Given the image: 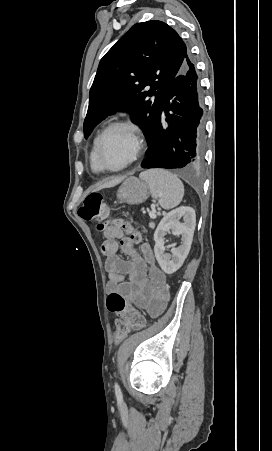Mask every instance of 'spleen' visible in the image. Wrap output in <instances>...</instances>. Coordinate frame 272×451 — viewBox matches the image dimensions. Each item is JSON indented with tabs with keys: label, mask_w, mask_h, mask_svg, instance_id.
<instances>
[{
	"label": "spleen",
	"mask_w": 272,
	"mask_h": 451,
	"mask_svg": "<svg viewBox=\"0 0 272 451\" xmlns=\"http://www.w3.org/2000/svg\"><path fill=\"white\" fill-rule=\"evenodd\" d=\"M139 178L147 182L152 198H158V204L164 210H171L180 204L184 196V186L175 174L155 168L141 172Z\"/></svg>",
	"instance_id": "3e777b00"
}]
</instances>
